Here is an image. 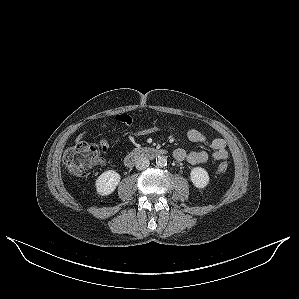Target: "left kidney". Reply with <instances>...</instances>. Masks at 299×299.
I'll return each instance as SVG.
<instances>
[{
    "instance_id": "left-kidney-1",
    "label": "left kidney",
    "mask_w": 299,
    "mask_h": 299,
    "mask_svg": "<svg viewBox=\"0 0 299 299\" xmlns=\"http://www.w3.org/2000/svg\"><path fill=\"white\" fill-rule=\"evenodd\" d=\"M190 179L195 187L204 188L209 183L208 172L201 167H194L190 173Z\"/></svg>"
}]
</instances>
